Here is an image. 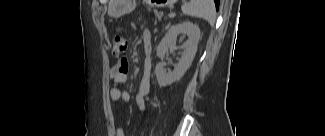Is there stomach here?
Returning <instances> with one entry per match:
<instances>
[{
  "instance_id": "0dacf381",
  "label": "stomach",
  "mask_w": 325,
  "mask_h": 136,
  "mask_svg": "<svg viewBox=\"0 0 325 136\" xmlns=\"http://www.w3.org/2000/svg\"><path fill=\"white\" fill-rule=\"evenodd\" d=\"M112 14L113 16H121L130 13L135 8L134 0H112ZM146 2L154 7H168L172 5L175 0H146Z\"/></svg>"
}]
</instances>
